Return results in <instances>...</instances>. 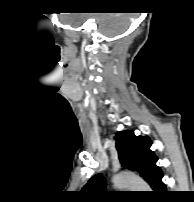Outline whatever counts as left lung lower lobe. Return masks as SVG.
<instances>
[{
	"mask_svg": "<svg viewBox=\"0 0 194 202\" xmlns=\"http://www.w3.org/2000/svg\"><path fill=\"white\" fill-rule=\"evenodd\" d=\"M162 171L157 175L156 179L154 182L150 185L152 189L154 190V194H164L166 193V186L162 182Z\"/></svg>",
	"mask_w": 194,
	"mask_h": 202,
	"instance_id": "0a47b994",
	"label": "left lung lower lobe"
}]
</instances>
